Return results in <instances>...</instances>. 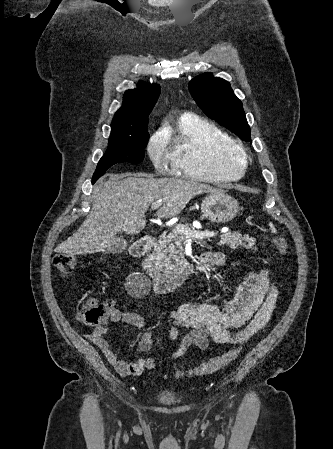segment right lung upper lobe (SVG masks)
I'll return each instance as SVG.
<instances>
[{
    "instance_id": "obj_1",
    "label": "right lung upper lobe",
    "mask_w": 333,
    "mask_h": 449,
    "mask_svg": "<svg viewBox=\"0 0 333 449\" xmlns=\"http://www.w3.org/2000/svg\"><path fill=\"white\" fill-rule=\"evenodd\" d=\"M160 94V86L141 82L123 97L122 107L115 113L110 137L138 136Z\"/></svg>"
}]
</instances>
